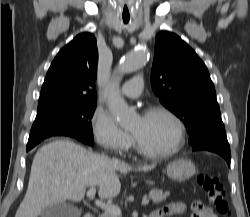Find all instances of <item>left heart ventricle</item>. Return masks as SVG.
Listing matches in <instances>:
<instances>
[{"instance_id": "1", "label": "left heart ventricle", "mask_w": 250, "mask_h": 217, "mask_svg": "<svg viewBox=\"0 0 250 217\" xmlns=\"http://www.w3.org/2000/svg\"><path fill=\"white\" fill-rule=\"evenodd\" d=\"M130 132L145 148L157 152L171 148L177 138L174 123L159 113L137 118Z\"/></svg>"}]
</instances>
